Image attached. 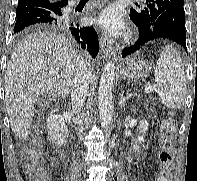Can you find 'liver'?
Masks as SVG:
<instances>
[{
  "label": "liver",
  "mask_w": 197,
  "mask_h": 181,
  "mask_svg": "<svg viewBox=\"0 0 197 181\" xmlns=\"http://www.w3.org/2000/svg\"><path fill=\"white\" fill-rule=\"evenodd\" d=\"M82 57L61 34L39 31L15 47L5 76V103L13 133L20 140L31 131L34 104L45 94L69 93Z\"/></svg>",
  "instance_id": "6515ba94"
}]
</instances>
